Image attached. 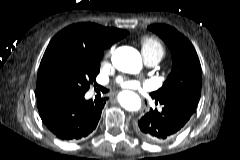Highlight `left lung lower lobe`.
<instances>
[{
    "instance_id": "left-lung-lower-lobe-1",
    "label": "left lung lower lobe",
    "mask_w": 240,
    "mask_h": 160,
    "mask_svg": "<svg viewBox=\"0 0 240 160\" xmlns=\"http://www.w3.org/2000/svg\"><path fill=\"white\" fill-rule=\"evenodd\" d=\"M162 111L150 109L136 124L137 134L151 143H163L173 138L186 124L196 108L176 101H155Z\"/></svg>"
}]
</instances>
